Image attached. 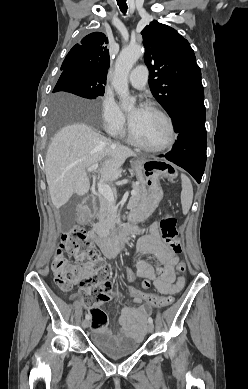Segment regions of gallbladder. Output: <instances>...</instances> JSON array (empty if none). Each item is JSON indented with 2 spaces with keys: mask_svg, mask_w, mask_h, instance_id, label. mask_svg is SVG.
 Segmentation results:
<instances>
[{
  "mask_svg": "<svg viewBox=\"0 0 248 389\" xmlns=\"http://www.w3.org/2000/svg\"><path fill=\"white\" fill-rule=\"evenodd\" d=\"M83 200V197L81 196H73L69 202L65 205V209L68 211L67 213L70 214V217H71V220H72V223L75 222V207L81 203V201Z\"/></svg>",
  "mask_w": 248,
  "mask_h": 389,
  "instance_id": "obj_1",
  "label": "gallbladder"
}]
</instances>
